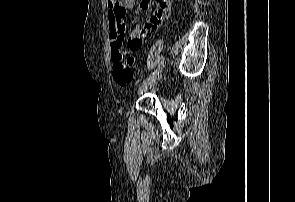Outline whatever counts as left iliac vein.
<instances>
[{
    "mask_svg": "<svg viewBox=\"0 0 295 202\" xmlns=\"http://www.w3.org/2000/svg\"><path fill=\"white\" fill-rule=\"evenodd\" d=\"M162 77V74L157 75L156 77L146 81L145 83H142L138 88V94H142L143 92H146L148 89L153 87L155 84H157Z\"/></svg>",
    "mask_w": 295,
    "mask_h": 202,
    "instance_id": "1",
    "label": "left iliac vein"
}]
</instances>
